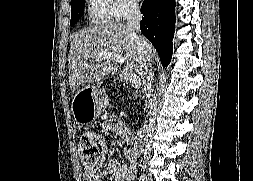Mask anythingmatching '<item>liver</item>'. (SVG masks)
<instances>
[{
  "label": "liver",
  "instance_id": "liver-1",
  "mask_svg": "<svg viewBox=\"0 0 253 181\" xmlns=\"http://www.w3.org/2000/svg\"><path fill=\"white\" fill-rule=\"evenodd\" d=\"M137 34L127 24L108 22L85 28L75 34L69 50V85L72 91L81 84L100 83L118 70V63L112 59L98 58L102 52L122 55L127 67L133 69L139 77H145V64L153 62L156 52L152 45L143 38L147 45L148 61L138 49Z\"/></svg>",
  "mask_w": 253,
  "mask_h": 181
}]
</instances>
